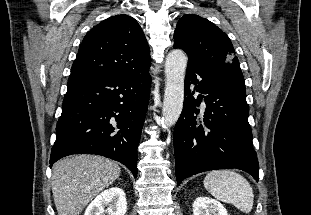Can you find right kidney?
Masks as SVG:
<instances>
[{
  "label": "right kidney",
  "instance_id": "right-kidney-1",
  "mask_svg": "<svg viewBox=\"0 0 311 215\" xmlns=\"http://www.w3.org/2000/svg\"><path fill=\"white\" fill-rule=\"evenodd\" d=\"M126 209L125 193L116 186L99 194L89 204L84 215H125Z\"/></svg>",
  "mask_w": 311,
  "mask_h": 215
}]
</instances>
